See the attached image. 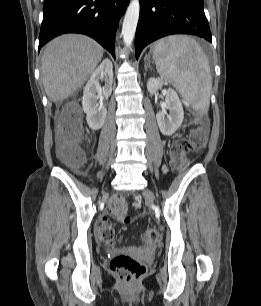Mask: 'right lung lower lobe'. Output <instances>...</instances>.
I'll return each instance as SVG.
<instances>
[{
  "label": "right lung lower lobe",
  "instance_id": "right-lung-lower-lobe-1",
  "mask_svg": "<svg viewBox=\"0 0 261 306\" xmlns=\"http://www.w3.org/2000/svg\"><path fill=\"white\" fill-rule=\"evenodd\" d=\"M129 0H44L39 50L63 33L94 38L115 58V33Z\"/></svg>",
  "mask_w": 261,
  "mask_h": 306
}]
</instances>
